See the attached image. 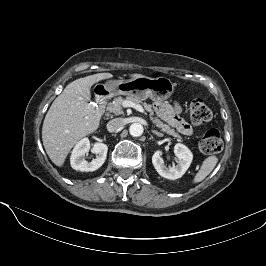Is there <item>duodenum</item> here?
<instances>
[{"mask_svg": "<svg viewBox=\"0 0 266 266\" xmlns=\"http://www.w3.org/2000/svg\"><path fill=\"white\" fill-rule=\"evenodd\" d=\"M109 92L106 89H100L96 92L95 100L98 104L99 112H103Z\"/></svg>", "mask_w": 266, "mask_h": 266, "instance_id": "duodenum-1", "label": "duodenum"}]
</instances>
